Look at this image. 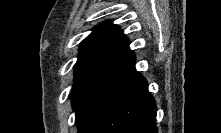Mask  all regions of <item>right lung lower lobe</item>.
Masks as SVG:
<instances>
[{
  "mask_svg": "<svg viewBox=\"0 0 221 133\" xmlns=\"http://www.w3.org/2000/svg\"><path fill=\"white\" fill-rule=\"evenodd\" d=\"M135 58L99 75L77 116L78 133H157L156 103Z\"/></svg>",
  "mask_w": 221,
  "mask_h": 133,
  "instance_id": "right-lung-lower-lobe-1",
  "label": "right lung lower lobe"
}]
</instances>
